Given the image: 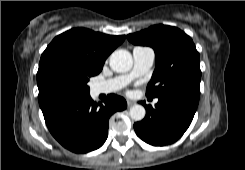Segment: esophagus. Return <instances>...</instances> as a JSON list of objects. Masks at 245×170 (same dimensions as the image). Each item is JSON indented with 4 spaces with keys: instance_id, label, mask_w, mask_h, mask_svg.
<instances>
[{
    "instance_id": "esophagus-1",
    "label": "esophagus",
    "mask_w": 245,
    "mask_h": 170,
    "mask_svg": "<svg viewBox=\"0 0 245 170\" xmlns=\"http://www.w3.org/2000/svg\"><path fill=\"white\" fill-rule=\"evenodd\" d=\"M133 103H134L133 101L127 99V106H128V107L132 106Z\"/></svg>"
}]
</instances>
